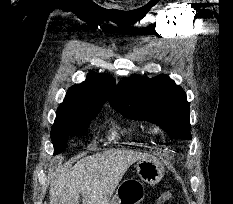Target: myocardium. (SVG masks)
<instances>
[{"mask_svg": "<svg viewBox=\"0 0 233 204\" xmlns=\"http://www.w3.org/2000/svg\"><path fill=\"white\" fill-rule=\"evenodd\" d=\"M159 130H160L159 128H155V129H154L155 132H158Z\"/></svg>", "mask_w": 233, "mask_h": 204, "instance_id": "obj_1", "label": "myocardium"}]
</instances>
